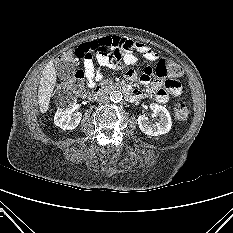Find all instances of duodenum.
<instances>
[{
    "mask_svg": "<svg viewBox=\"0 0 233 233\" xmlns=\"http://www.w3.org/2000/svg\"><path fill=\"white\" fill-rule=\"evenodd\" d=\"M112 90H116V91H120L123 93V95L129 99V100H134L135 99V93L134 91H131L129 89H127L126 87L120 85V84H113V85H109V86H96L93 87L88 96L90 99H96L98 96L104 94L107 91H112Z\"/></svg>",
    "mask_w": 233,
    "mask_h": 233,
    "instance_id": "1",
    "label": "duodenum"
}]
</instances>
